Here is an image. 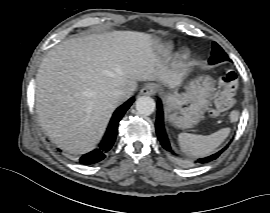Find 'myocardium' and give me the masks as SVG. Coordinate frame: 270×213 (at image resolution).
Segmentation results:
<instances>
[{
    "instance_id": "1",
    "label": "myocardium",
    "mask_w": 270,
    "mask_h": 213,
    "mask_svg": "<svg viewBox=\"0 0 270 213\" xmlns=\"http://www.w3.org/2000/svg\"><path fill=\"white\" fill-rule=\"evenodd\" d=\"M179 57L181 59H184L187 57V50H182L180 53H179Z\"/></svg>"
}]
</instances>
